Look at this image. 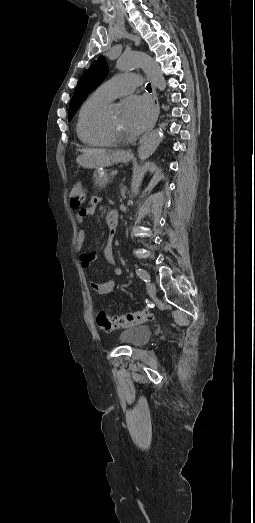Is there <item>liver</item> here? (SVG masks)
Returning a JSON list of instances; mask_svg holds the SVG:
<instances>
[{
	"label": "liver",
	"instance_id": "obj_1",
	"mask_svg": "<svg viewBox=\"0 0 255 523\" xmlns=\"http://www.w3.org/2000/svg\"><path fill=\"white\" fill-rule=\"evenodd\" d=\"M79 152H83V156L93 160V162H97L99 156H105L106 154L105 150H98V148H84V150H79Z\"/></svg>",
	"mask_w": 255,
	"mask_h": 523
}]
</instances>
